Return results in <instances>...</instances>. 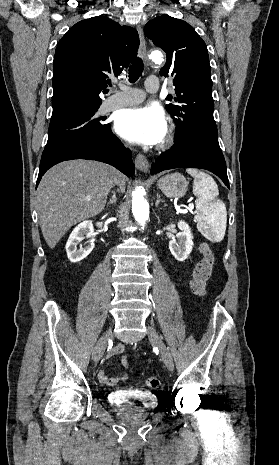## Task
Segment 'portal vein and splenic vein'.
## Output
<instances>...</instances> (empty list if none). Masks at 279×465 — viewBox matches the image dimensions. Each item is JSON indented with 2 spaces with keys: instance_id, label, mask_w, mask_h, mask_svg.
I'll return each mask as SVG.
<instances>
[{
  "instance_id": "obj_1",
  "label": "portal vein and splenic vein",
  "mask_w": 279,
  "mask_h": 465,
  "mask_svg": "<svg viewBox=\"0 0 279 465\" xmlns=\"http://www.w3.org/2000/svg\"><path fill=\"white\" fill-rule=\"evenodd\" d=\"M87 201H90L91 199L89 197L86 198ZM192 207V205H190Z\"/></svg>"
}]
</instances>
